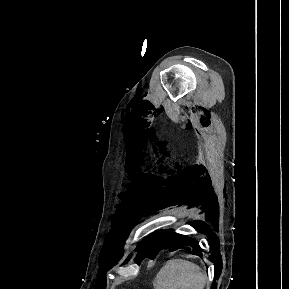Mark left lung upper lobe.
Masks as SVG:
<instances>
[{"mask_svg":"<svg viewBox=\"0 0 289 289\" xmlns=\"http://www.w3.org/2000/svg\"><path fill=\"white\" fill-rule=\"evenodd\" d=\"M164 233V231H157L141 241V249L135 258L137 263H140L146 257L153 259L160 250L165 248L162 241Z\"/></svg>","mask_w":289,"mask_h":289,"instance_id":"1","label":"left lung upper lobe"}]
</instances>
